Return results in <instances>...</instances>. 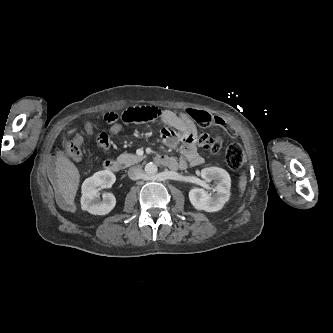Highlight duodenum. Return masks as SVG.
I'll list each match as a JSON object with an SVG mask.
<instances>
[{
  "mask_svg": "<svg viewBox=\"0 0 333 333\" xmlns=\"http://www.w3.org/2000/svg\"><path fill=\"white\" fill-rule=\"evenodd\" d=\"M104 167L110 172H118L120 170V163L115 159H108L104 162Z\"/></svg>",
  "mask_w": 333,
  "mask_h": 333,
  "instance_id": "obj_1",
  "label": "duodenum"
}]
</instances>
